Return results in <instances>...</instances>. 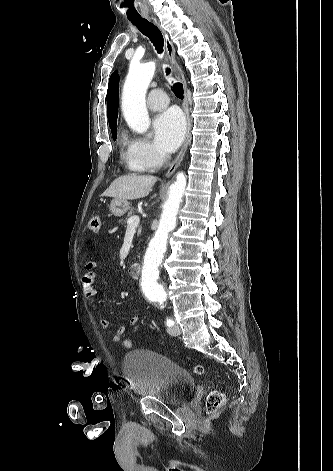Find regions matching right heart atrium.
<instances>
[{
  "label": "right heart atrium",
  "mask_w": 333,
  "mask_h": 471,
  "mask_svg": "<svg viewBox=\"0 0 333 471\" xmlns=\"http://www.w3.org/2000/svg\"><path fill=\"white\" fill-rule=\"evenodd\" d=\"M126 145L130 162L142 171H156L166 162V155L145 137H128Z\"/></svg>",
  "instance_id": "1"
}]
</instances>
